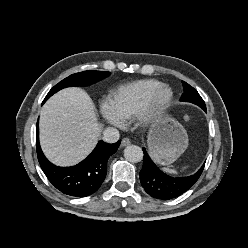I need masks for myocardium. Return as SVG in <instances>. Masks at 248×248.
<instances>
[{
    "instance_id": "1",
    "label": "myocardium",
    "mask_w": 248,
    "mask_h": 248,
    "mask_svg": "<svg viewBox=\"0 0 248 248\" xmlns=\"http://www.w3.org/2000/svg\"><path fill=\"white\" fill-rule=\"evenodd\" d=\"M172 89L162 84L151 95L148 103L138 115L137 120L142 126H147L153 118L167 109L173 100Z\"/></svg>"
}]
</instances>
